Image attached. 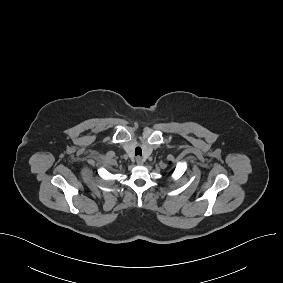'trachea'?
<instances>
[{
  "label": "trachea",
  "instance_id": "1",
  "mask_svg": "<svg viewBox=\"0 0 283 283\" xmlns=\"http://www.w3.org/2000/svg\"><path fill=\"white\" fill-rule=\"evenodd\" d=\"M135 155H142V150H141V148L140 147H137L136 149H135Z\"/></svg>",
  "mask_w": 283,
  "mask_h": 283
}]
</instances>
